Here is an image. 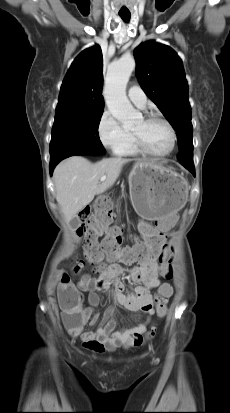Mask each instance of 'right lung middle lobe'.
Listing matches in <instances>:
<instances>
[{"label":"right lung middle lobe","instance_id":"1","mask_svg":"<svg viewBox=\"0 0 230 413\" xmlns=\"http://www.w3.org/2000/svg\"><path fill=\"white\" fill-rule=\"evenodd\" d=\"M103 112L55 116L50 142V162L83 153L105 154L98 127Z\"/></svg>","mask_w":230,"mask_h":413}]
</instances>
